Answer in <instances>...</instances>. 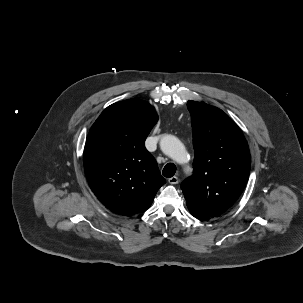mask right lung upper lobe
<instances>
[{"label": "right lung upper lobe", "mask_w": 303, "mask_h": 303, "mask_svg": "<svg viewBox=\"0 0 303 303\" xmlns=\"http://www.w3.org/2000/svg\"><path fill=\"white\" fill-rule=\"evenodd\" d=\"M157 121L149 103L129 99L108 106L89 131L86 177L99 201L114 213L130 216L145 211L166 182L144 146Z\"/></svg>", "instance_id": "obj_1"}]
</instances>
